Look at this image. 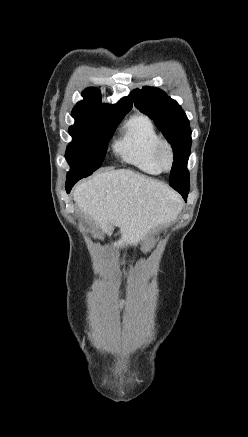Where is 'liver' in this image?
<instances>
[{"instance_id":"1","label":"liver","mask_w":248,"mask_h":437,"mask_svg":"<svg viewBox=\"0 0 248 437\" xmlns=\"http://www.w3.org/2000/svg\"><path fill=\"white\" fill-rule=\"evenodd\" d=\"M73 197L103 232L120 228L118 247L136 245L151 229L172 221L181 203L168 185L128 169L96 174L77 185Z\"/></svg>"}]
</instances>
